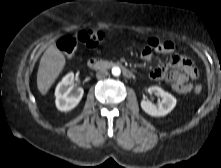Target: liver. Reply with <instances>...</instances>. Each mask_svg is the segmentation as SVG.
I'll list each match as a JSON object with an SVG mask.
<instances>
[{
  "label": "liver",
  "instance_id": "liver-1",
  "mask_svg": "<svg viewBox=\"0 0 221 168\" xmlns=\"http://www.w3.org/2000/svg\"><path fill=\"white\" fill-rule=\"evenodd\" d=\"M66 64L65 56L55 46L50 45L41 57L37 72V87L46 95Z\"/></svg>",
  "mask_w": 221,
  "mask_h": 168
}]
</instances>
